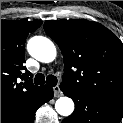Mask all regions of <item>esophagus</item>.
I'll return each mask as SVG.
<instances>
[{
  "instance_id": "34e87169",
  "label": "esophagus",
  "mask_w": 123,
  "mask_h": 123,
  "mask_svg": "<svg viewBox=\"0 0 123 123\" xmlns=\"http://www.w3.org/2000/svg\"><path fill=\"white\" fill-rule=\"evenodd\" d=\"M53 91H54V97H56V98L61 97L63 95L59 86L53 87Z\"/></svg>"
}]
</instances>
